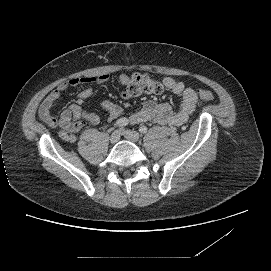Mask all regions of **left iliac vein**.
<instances>
[{"label": "left iliac vein", "instance_id": "4c4485c4", "mask_svg": "<svg viewBox=\"0 0 271 271\" xmlns=\"http://www.w3.org/2000/svg\"><path fill=\"white\" fill-rule=\"evenodd\" d=\"M123 136L132 142H138L140 139V134L136 131H132V130H123L122 131Z\"/></svg>", "mask_w": 271, "mask_h": 271}]
</instances>
